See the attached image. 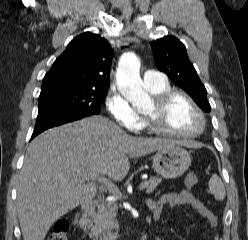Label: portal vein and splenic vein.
Masks as SVG:
<instances>
[{
  "label": "portal vein and splenic vein",
  "instance_id": "18ae733b",
  "mask_svg": "<svg viewBox=\"0 0 248 240\" xmlns=\"http://www.w3.org/2000/svg\"><path fill=\"white\" fill-rule=\"evenodd\" d=\"M92 179H97L100 183H103L105 186H107L108 190L113 193L114 195H121L119 192V189L114 183H112L110 180H108L106 177L99 175L97 173H92L91 174ZM145 188V185L141 183L139 185V189Z\"/></svg>",
  "mask_w": 248,
  "mask_h": 240
}]
</instances>
